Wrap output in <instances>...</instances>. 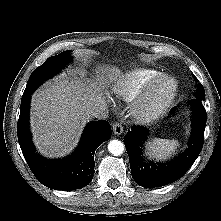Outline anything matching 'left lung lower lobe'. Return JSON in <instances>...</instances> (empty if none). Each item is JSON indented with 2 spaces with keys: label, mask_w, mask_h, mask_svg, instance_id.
<instances>
[{
  "label": "left lung lower lobe",
  "mask_w": 221,
  "mask_h": 221,
  "mask_svg": "<svg viewBox=\"0 0 221 221\" xmlns=\"http://www.w3.org/2000/svg\"><path fill=\"white\" fill-rule=\"evenodd\" d=\"M192 105V135L188 149L170 162L153 163L142 158L141 147L147 136V128L133 126L127 132L124 144L129 156L131 175L137 184L146 188L167 185L181 178L195 162L203 146L206 110L201 100H193Z\"/></svg>",
  "instance_id": "obj_1"
}]
</instances>
